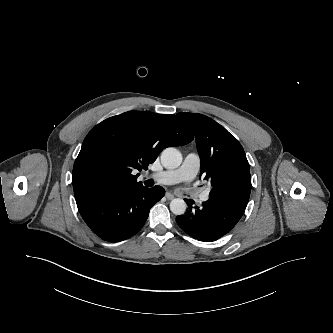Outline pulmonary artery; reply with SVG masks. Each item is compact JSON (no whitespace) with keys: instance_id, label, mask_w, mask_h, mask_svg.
<instances>
[{"instance_id":"1","label":"pulmonary artery","mask_w":333,"mask_h":333,"mask_svg":"<svg viewBox=\"0 0 333 333\" xmlns=\"http://www.w3.org/2000/svg\"><path fill=\"white\" fill-rule=\"evenodd\" d=\"M200 169V157L196 153H189L184 157L180 167L174 170H164L148 175L160 184L170 185L179 182L191 181ZM210 196L209 190L200 194L202 201H207Z\"/></svg>"}]
</instances>
